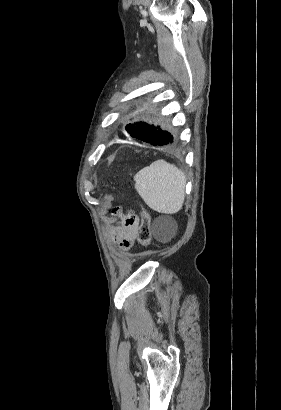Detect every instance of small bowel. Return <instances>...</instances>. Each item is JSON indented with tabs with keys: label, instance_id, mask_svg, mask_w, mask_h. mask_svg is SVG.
Masks as SVG:
<instances>
[{
	"label": "small bowel",
	"instance_id": "small-bowel-1",
	"mask_svg": "<svg viewBox=\"0 0 281 410\" xmlns=\"http://www.w3.org/2000/svg\"><path fill=\"white\" fill-rule=\"evenodd\" d=\"M138 219L131 220L129 216L123 218L120 224L113 228L112 237L122 250H129L137 237Z\"/></svg>",
	"mask_w": 281,
	"mask_h": 410
}]
</instances>
